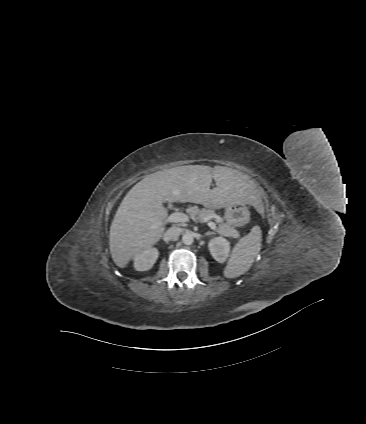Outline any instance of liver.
Returning a JSON list of instances; mask_svg holds the SVG:
<instances>
[{
    "mask_svg": "<svg viewBox=\"0 0 366 424\" xmlns=\"http://www.w3.org/2000/svg\"><path fill=\"white\" fill-rule=\"evenodd\" d=\"M212 179L216 187L210 189ZM167 201L196 203L211 209L245 203L262 210L256 185L237 170L188 165L157 171L130 189L111 223L110 253L118 267H126L133 257L161 239L168 215L163 203Z\"/></svg>",
    "mask_w": 366,
    "mask_h": 424,
    "instance_id": "6515ba94",
    "label": "liver"
}]
</instances>
